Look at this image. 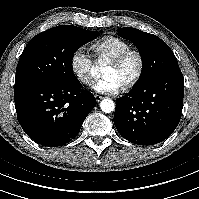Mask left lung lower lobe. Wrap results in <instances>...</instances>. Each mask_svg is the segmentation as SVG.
Wrapping results in <instances>:
<instances>
[{
  "label": "left lung lower lobe",
  "mask_w": 199,
  "mask_h": 199,
  "mask_svg": "<svg viewBox=\"0 0 199 199\" xmlns=\"http://www.w3.org/2000/svg\"><path fill=\"white\" fill-rule=\"evenodd\" d=\"M183 96L184 79L180 68L165 71L116 101L115 127L122 137L134 144L159 143L177 127Z\"/></svg>",
  "instance_id": "1"
}]
</instances>
